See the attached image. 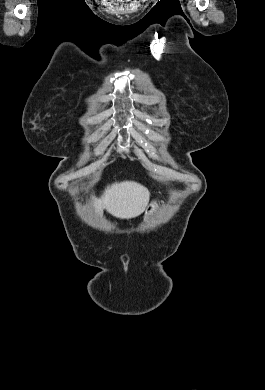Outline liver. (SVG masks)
Instances as JSON below:
<instances>
[{
  "mask_svg": "<svg viewBox=\"0 0 265 390\" xmlns=\"http://www.w3.org/2000/svg\"><path fill=\"white\" fill-rule=\"evenodd\" d=\"M150 192L133 181L114 183L105 189L100 199L94 200L96 212L106 209L120 219H131L142 214L149 203Z\"/></svg>",
  "mask_w": 265,
  "mask_h": 390,
  "instance_id": "obj_1",
  "label": "liver"
}]
</instances>
